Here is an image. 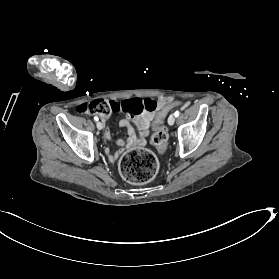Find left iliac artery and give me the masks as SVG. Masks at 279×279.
I'll list each match as a JSON object with an SVG mask.
<instances>
[{
	"label": "left iliac artery",
	"mask_w": 279,
	"mask_h": 279,
	"mask_svg": "<svg viewBox=\"0 0 279 279\" xmlns=\"http://www.w3.org/2000/svg\"><path fill=\"white\" fill-rule=\"evenodd\" d=\"M180 115V112L179 111H176L175 113H174V116L175 117H178Z\"/></svg>",
	"instance_id": "44dca946"
}]
</instances>
